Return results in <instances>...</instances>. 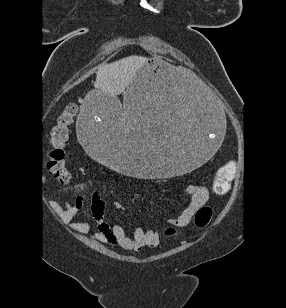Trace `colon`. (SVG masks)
<instances>
[{"label":"colon","mask_w":286,"mask_h":308,"mask_svg":"<svg viewBox=\"0 0 286 308\" xmlns=\"http://www.w3.org/2000/svg\"><path fill=\"white\" fill-rule=\"evenodd\" d=\"M77 113V105L67 104L59 115L56 124L50 134L51 148L48 152V170L54 179L61 185H68L72 180V174L65 161V146L69 140L70 126ZM236 162L230 161L224 164L215 176L212 188L215 193H226L236 174ZM212 217V209L202 206L198 209L194 218L196 228L202 229L208 225ZM174 230L169 228L167 235H172Z\"/></svg>","instance_id":"5ec220e1"}]
</instances>
